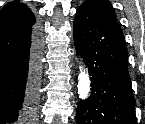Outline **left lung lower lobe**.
Wrapping results in <instances>:
<instances>
[{
    "mask_svg": "<svg viewBox=\"0 0 145 124\" xmlns=\"http://www.w3.org/2000/svg\"><path fill=\"white\" fill-rule=\"evenodd\" d=\"M74 42L92 76V93L78 104L77 124H137L119 24L80 7L74 21Z\"/></svg>",
    "mask_w": 145,
    "mask_h": 124,
    "instance_id": "obj_1",
    "label": "left lung lower lobe"
}]
</instances>
